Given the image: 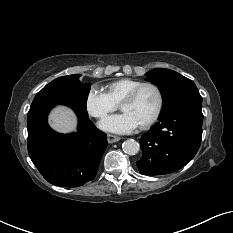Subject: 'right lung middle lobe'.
Instances as JSON below:
<instances>
[{
  "mask_svg": "<svg viewBox=\"0 0 233 233\" xmlns=\"http://www.w3.org/2000/svg\"><path fill=\"white\" fill-rule=\"evenodd\" d=\"M80 76L73 74L53 80L36 94L31 106L45 101H58L86 109L90 85L81 83L79 81Z\"/></svg>",
  "mask_w": 233,
  "mask_h": 233,
  "instance_id": "dd1d6c3e",
  "label": "right lung middle lobe"
}]
</instances>
